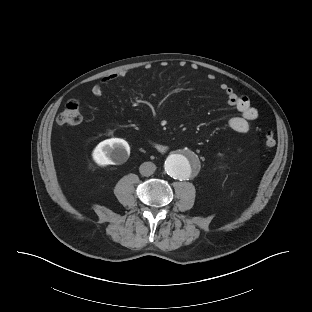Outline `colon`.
Returning a JSON list of instances; mask_svg holds the SVG:
<instances>
[{
	"label": "colon",
	"mask_w": 312,
	"mask_h": 312,
	"mask_svg": "<svg viewBox=\"0 0 312 312\" xmlns=\"http://www.w3.org/2000/svg\"><path fill=\"white\" fill-rule=\"evenodd\" d=\"M56 120L61 125H78L82 120L79 104L76 101H69ZM264 142L267 147L275 146L276 140L272 131L265 132Z\"/></svg>",
	"instance_id": "obj_1"
}]
</instances>
